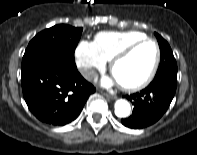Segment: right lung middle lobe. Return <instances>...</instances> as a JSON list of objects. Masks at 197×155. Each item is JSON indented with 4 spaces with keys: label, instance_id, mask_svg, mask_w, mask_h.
<instances>
[{
    "label": "right lung middle lobe",
    "instance_id": "obj_1",
    "mask_svg": "<svg viewBox=\"0 0 197 155\" xmlns=\"http://www.w3.org/2000/svg\"><path fill=\"white\" fill-rule=\"evenodd\" d=\"M82 30V28L60 24L38 33L30 41L23 56L22 75L48 59L74 60V51Z\"/></svg>",
    "mask_w": 197,
    "mask_h": 155
}]
</instances>
